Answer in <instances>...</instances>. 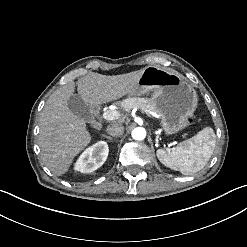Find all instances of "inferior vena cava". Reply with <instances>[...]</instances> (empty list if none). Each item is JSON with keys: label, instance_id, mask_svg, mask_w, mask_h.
I'll return each mask as SVG.
<instances>
[{"label": "inferior vena cava", "instance_id": "1", "mask_svg": "<svg viewBox=\"0 0 247 247\" xmlns=\"http://www.w3.org/2000/svg\"><path fill=\"white\" fill-rule=\"evenodd\" d=\"M107 133L111 136H121L124 133V126L121 123L113 122L107 126Z\"/></svg>", "mask_w": 247, "mask_h": 247}]
</instances>
